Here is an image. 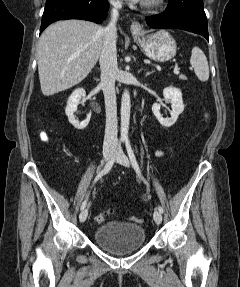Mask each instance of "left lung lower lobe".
<instances>
[{
    "mask_svg": "<svg viewBox=\"0 0 240 287\" xmlns=\"http://www.w3.org/2000/svg\"><path fill=\"white\" fill-rule=\"evenodd\" d=\"M146 22L155 29L178 28L200 34L209 41L203 0H171L163 13L146 17Z\"/></svg>",
    "mask_w": 240,
    "mask_h": 287,
    "instance_id": "1",
    "label": "left lung lower lobe"
}]
</instances>
